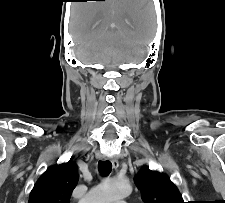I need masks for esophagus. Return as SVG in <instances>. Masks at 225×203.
Listing matches in <instances>:
<instances>
[{"label": "esophagus", "instance_id": "1", "mask_svg": "<svg viewBox=\"0 0 225 203\" xmlns=\"http://www.w3.org/2000/svg\"><path fill=\"white\" fill-rule=\"evenodd\" d=\"M103 160H105V158H103ZM110 161L112 163V166L114 169H117L119 166L118 160L115 157L110 158Z\"/></svg>", "mask_w": 225, "mask_h": 203}]
</instances>
